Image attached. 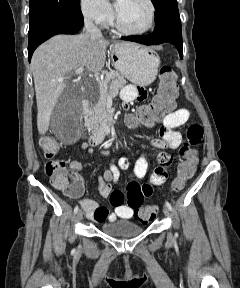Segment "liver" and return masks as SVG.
Here are the masks:
<instances>
[{
    "mask_svg": "<svg viewBox=\"0 0 240 288\" xmlns=\"http://www.w3.org/2000/svg\"><path fill=\"white\" fill-rule=\"evenodd\" d=\"M110 44L102 37L80 35H55L34 52L31 68L37 102V128L44 135L49 128L50 117L66 82H58L72 70L85 67L88 71H101Z\"/></svg>",
    "mask_w": 240,
    "mask_h": 288,
    "instance_id": "liver-1",
    "label": "liver"
}]
</instances>
